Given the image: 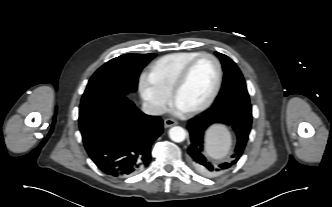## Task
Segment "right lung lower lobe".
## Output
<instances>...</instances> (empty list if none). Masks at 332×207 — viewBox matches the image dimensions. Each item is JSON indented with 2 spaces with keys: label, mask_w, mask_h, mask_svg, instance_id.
Here are the masks:
<instances>
[{
  "label": "right lung lower lobe",
  "mask_w": 332,
  "mask_h": 207,
  "mask_svg": "<svg viewBox=\"0 0 332 207\" xmlns=\"http://www.w3.org/2000/svg\"><path fill=\"white\" fill-rule=\"evenodd\" d=\"M79 128L97 167L122 177L149 165L151 146L163 131V121L141 112L125 95L106 94L81 103Z\"/></svg>",
  "instance_id": "1"
}]
</instances>
